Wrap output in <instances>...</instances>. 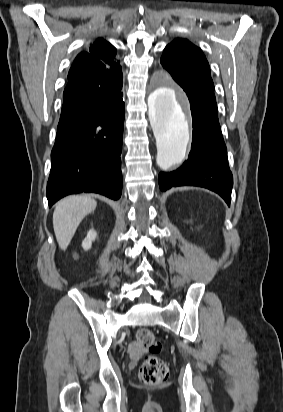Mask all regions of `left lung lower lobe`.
<instances>
[{
  "label": "left lung lower lobe",
  "mask_w": 283,
  "mask_h": 412,
  "mask_svg": "<svg viewBox=\"0 0 283 412\" xmlns=\"http://www.w3.org/2000/svg\"><path fill=\"white\" fill-rule=\"evenodd\" d=\"M186 92L193 117L191 152L175 171L160 172L161 191L173 186H198L218 193L230 205L233 176L218 120L216 100L196 92L187 83L177 82Z\"/></svg>",
  "instance_id": "left-lung-lower-lobe-1"
}]
</instances>
